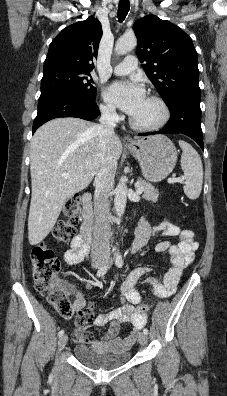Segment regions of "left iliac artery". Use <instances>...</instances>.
Wrapping results in <instances>:
<instances>
[{
    "instance_id": "44dca946",
    "label": "left iliac artery",
    "mask_w": 227,
    "mask_h": 396,
    "mask_svg": "<svg viewBox=\"0 0 227 396\" xmlns=\"http://www.w3.org/2000/svg\"><path fill=\"white\" fill-rule=\"evenodd\" d=\"M115 264H116V266L119 267V268H121V267L123 266V258H122V256H121L120 254H117V255H116ZM143 333L147 335V334H148V329L145 328V329L143 330Z\"/></svg>"
}]
</instances>
